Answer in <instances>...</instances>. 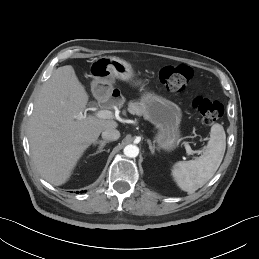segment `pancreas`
Masks as SVG:
<instances>
[{"label":"pancreas","mask_w":259,"mask_h":259,"mask_svg":"<svg viewBox=\"0 0 259 259\" xmlns=\"http://www.w3.org/2000/svg\"><path fill=\"white\" fill-rule=\"evenodd\" d=\"M129 111L132 114H137V115L143 114L142 109L140 108V106L137 103H131L129 106Z\"/></svg>","instance_id":"cf45deb5"}]
</instances>
